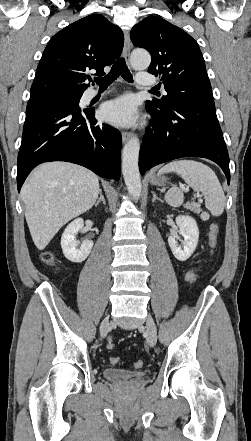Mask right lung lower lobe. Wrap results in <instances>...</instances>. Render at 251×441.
I'll use <instances>...</instances> for the list:
<instances>
[{
	"label": "right lung lower lobe",
	"instance_id": "1",
	"mask_svg": "<svg viewBox=\"0 0 251 441\" xmlns=\"http://www.w3.org/2000/svg\"><path fill=\"white\" fill-rule=\"evenodd\" d=\"M94 110L81 111L73 104L30 99L17 161V187L43 162L67 161L97 175L120 178L121 134L99 124Z\"/></svg>",
	"mask_w": 251,
	"mask_h": 441
}]
</instances>
